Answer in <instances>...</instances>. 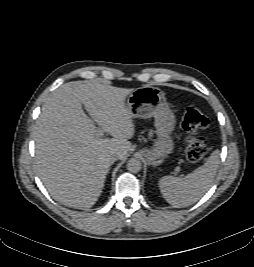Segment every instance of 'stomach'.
<instances>
[{
	"label": "stomach",
	"instance_id": "stomach-1",
	"mask_svg": "<svg viewBox=\"0 0 254 267\" xmlns=\"http://www.w3.org/2000/svg\"><path fill=\"white\" fill-rule=\"evenodd\" d=\"M127 108L133 118L154 117L157 139L150 148L141 153L150 161L166 159L174 149L172 133L176 118L166 101L165 94L158 87L142 86L134 89L128 96Z\"/></svg>",
	"mask_w": 254,
	"mask_h": 267
}]
</instances>
